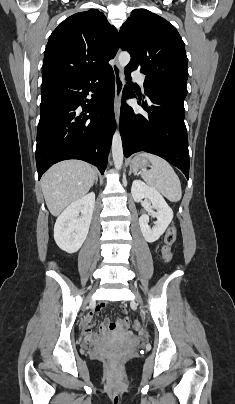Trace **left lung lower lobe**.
Returning a JSON list of instances; mask_svg holds the SVG:
<instances>
[{
    "label": "left lung lower lobe",
    "mask_w": 235,
    "mask_h": 404,
    "mask_svg": "<svg viewBox=\"0 0 235 404\" xmlns=\"http://www.w3.org/2000/svg\"><path fill=\"white\" fill-rule=\"evenodd\" d=\"M126 78L131 79L125 70ZM149 102L138 104L147 115L137 113L126 104L120 110V133L123 152L131 154L145 151L158 155L178 167L189 179L188 136L184 123V97L176 94L147 92ZM134 92L125 86L123 99L134 98Z\"/></svg>",
    "instance_id": "1"
}]
</instances>
